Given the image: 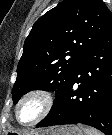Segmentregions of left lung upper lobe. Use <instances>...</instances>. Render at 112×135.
Wrapping results in <instances>:
<instances>
[{
  "label": "left lung upper lobe",
  "mask_w": 112,
  "mask_h": 135,
  "mask_svg": "<svg viewBox=\"0 0 112 135\" xmlns=\"http://www.w3.org/2000/svg\"><path fill=\"white\" fill-rule=\"evenodd\" d=\"M111 24L112 13L102 0H64L41 16L24 43L12 89L14 104L32 90L58 96Z\"/></svg>",
  "instance_id": "5c2ea615"
}]
</instances>
